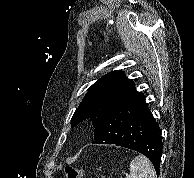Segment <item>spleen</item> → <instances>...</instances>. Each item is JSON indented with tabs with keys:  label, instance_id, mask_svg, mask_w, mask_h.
<instances>
[{
	"label": "spleen",
	"instance_id": "obj_1",
	"mask_svg": "<svg viewBox=\"0 0 194 178\" xmlns=\"http://www.w3.org/2000/svg\"><path fill=\"white\" fill-rule=\"evenodd\" d=\"M127 178H156V173L151 162L144 156H136L130 163V173Z\"/></svg>",
	"mask_w": 194,
	"mask_h": 178
}]
</instances>
